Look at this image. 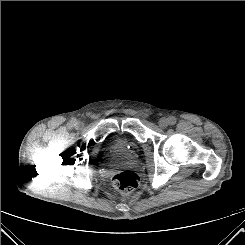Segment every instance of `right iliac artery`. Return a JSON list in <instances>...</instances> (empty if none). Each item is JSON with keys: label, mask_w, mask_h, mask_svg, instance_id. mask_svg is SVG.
Here are the masks:
<instances>
[{"label": "right iliac artery", "mask_w": 245, "mask_h": 245, "mask_svg": "<svg viewBox=\"0 0 245 245\" xmlns=\"http://www.w3.org/2000/svg\"><path fill=\"white\" fill-rule=\"evenodd\" d=\"M76 123H77V121H76V119H72L70 122H69V127H74V126H76Z\"/></svg>", "instance_id": "right-iliac-artery-1"}]
</instances>
